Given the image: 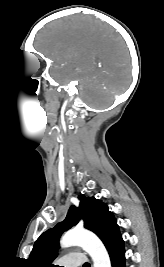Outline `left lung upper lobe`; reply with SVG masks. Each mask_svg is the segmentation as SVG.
Listing matches in <instances>:
<instances>
[{
    "mask_svg": "<svg viewBox=\"0 0 164 267\" xmlns=\"http://www.w3.org/2000/svg\"><path fill=\"white\" fill-rule=\"evenodd\" d=\"M79 208L70 207L64 221L47 230L36 240L28 262L30 267H54L51 262L57 256L62 233L84 220V227L94 232L103 242L118 228L117 221L108 206L94 197L79 196Z\"/></svg>",
    "mask_w": 164,
    "mask_h": 267,
    "instance_id": "left-lung-upper-lobe-1",
    "label": "left lung upper lobe"
}]
</instances>
